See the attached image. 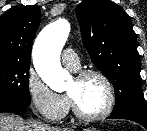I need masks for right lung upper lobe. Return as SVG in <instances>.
I'll return each instance as SVG.
<instances>
[{"label":"right lung upper lobe","instance_id":"1","mask_svg":"<svg viewBox=\"0 0 147 131\" xmlns=\"http://www.w3.org/2000/svg\"><path fill=\"white\" fill-rule=\"evenodd\" d=\"M40 19L37 5H18L0 17V61L30 64L32 42Z\"/></svg>","mask_w":147,"mask_h":131}]
</instances>
